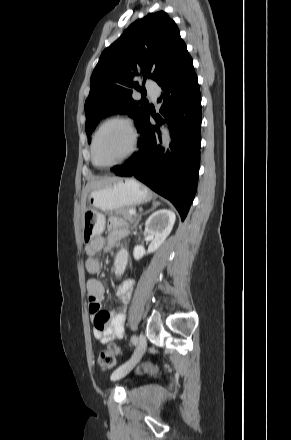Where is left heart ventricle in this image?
Returning a JSON list of instances; mask_svg holds the SVG:
<instances>
[{
    "instance_id": "obj_1",
    "label": "left heart ventricle",
    "mask_w": 291,
    "mask_h": 440,
    "mask_svg": "<svg viewBox=\"0 0 291 440\" xmlns=\"http://www.w3.org/2000/svg\"><path fill=\"white\" fill-rule=\"evenodd\" d=\"M130 135L121 124H112L104 128L96 142L95 160L98 164H107L120 160L128 151Z\"/></svg>"
}]
</instances>
